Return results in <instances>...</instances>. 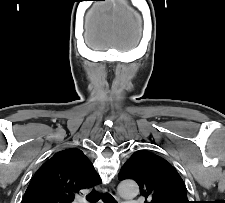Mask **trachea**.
Returning a JSON list of instances; mask_svg holds the SVG:
<instances>
[{"instance_id": "3493384b", "label": "trachea", "mask_w": 225, "mask_h": 203, "mask_svg": "<svg viewBox=\"0 0 225 203\" xmlns=\"http://www.w3.org/2000/svg\"><path fill=\"white\" fill-rule=\"evenodd\" d=\"M100 199H102L104 203H116L115 199L108 193L98 194L97 192L92 190L91 193L87 196V200L90 203H96Z\"/></svg>"}]
</instances>
